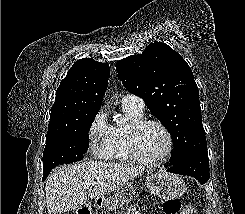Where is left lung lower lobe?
Instances as JSON below:
<instances>
[{
	"instance_id": "0a47b994",
	"label": "left lung lower lobe",
	"mask_w": 245,
	"mask_h": 214,
	"mask_svg": "<svg viewBox=\"0 0 245 214\" xmlns=\"http://www.w3.org/2000/svg\"><path fill=\"white\" fill-rule=\"evenodd\" d=\"M167 172L188 175L197 179L200 184L209 180V158L207 151L195 153L184 160L173 164Z\"/></svg>"
}]
</instances>
